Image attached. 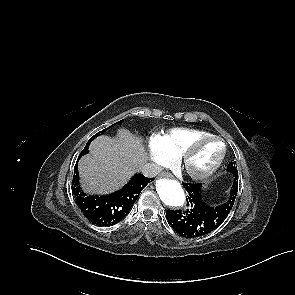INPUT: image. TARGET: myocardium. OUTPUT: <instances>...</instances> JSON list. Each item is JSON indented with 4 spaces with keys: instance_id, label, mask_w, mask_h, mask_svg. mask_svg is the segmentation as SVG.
Listing matches in <instances>:
<instances>
[{
    "instance_id": "1",
    "label": "myocardium",
    "mask_w": 295,
    "mask_h": 295,
    "mask_svg": "<svg viewBox=\"0 0 295 295\" xmlns=\"http://www.w3.org/2000/svg\"><path fill=\"white\" fill-rule=\"evenodd\" d=\"M209 141H216L220 144L221 151H220L218 158L208 169L201 171V172L193 171L192 169H190V166H189V163H190V160H191L193 154L197 151V149L202 144L209 142ZM225 156H226V145H225L224 141L218 136L207 135V136L198 138V139L194 140L193 142H191L186 147V149L183 151V153L180 155V162H181V165H182L184 171L186 172V174L190 178H192L194 180H206L218 171V169L221 167V165L225 159Z\"/></svg>"
}]
</instances>
